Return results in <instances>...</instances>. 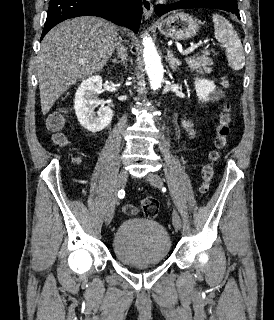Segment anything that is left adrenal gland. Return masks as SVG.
Segmentation results:
<instances>
[{
	"instance_id": "left-adrenal-gland-1",
	"label": "left adrenal gland",
	"mask_w": 274,
	"mask_h": 320,
	"mask_svg": "<svg viewBox=\"0 0 274 320\" xmlns=\"http://www.w3.org/2000/svg\"><path fill=\"white\" fill-rule=\"evenodd\" d=\"M167 62L169 64L171 70H173V72H175L177 66H181V62H179V60H177V58H174L171 50H168Z\"/></svg>"
}]
</instances>
